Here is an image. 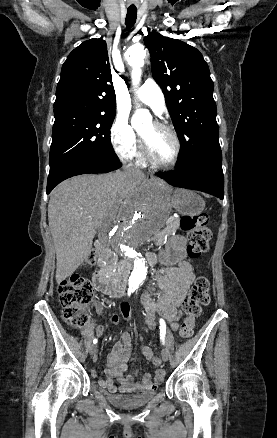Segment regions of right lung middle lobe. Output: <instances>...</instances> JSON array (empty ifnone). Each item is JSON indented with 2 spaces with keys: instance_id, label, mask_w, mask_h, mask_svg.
I'll return each mask as SVG.
<instances>
[{
  "instance_id": "obj_1",
  "label": "right lung middle lobe",
  "mask_w": 277,
  "mask_h": 438,
  "mask_svg": "<svg viewBox=\"0 0 277 438\" xmlns=\"http://www.w3.org/2000/svg\"><path fill=\"white\" fill-rule=\"evenodd\" d=\"M115 115L55 116L50 148V174L63 166L91 159H118L110 142Z\"/></svg>"
}]
</instances>
